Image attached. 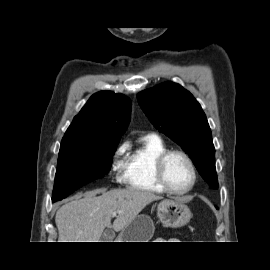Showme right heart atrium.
Instances as JSON below:
<instances>
[{"label": "right heart atrium", "instance_id": "right-heart-atrium-1", "mask_svg": "<svg viewBox=\"0 0 270 270\" xmlns=\"http://www.w3.org/2000/svg\"><path fill=\"white\" fill-rule=\"evenodd\" d=\"M127 148H128V145L126 142H124L115 149L112 155L110 169L117 183H121L124 180V172H125V167H126L124 154Z\"/></svg>", "mask_w": 270, "mask_h": 270}]
</instances>
